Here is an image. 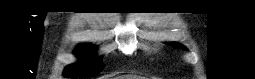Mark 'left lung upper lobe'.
I'll return each instance as SVG.
<instances>
[{"mask_svg": "<svg viewBox=\"0 0 255 79\" xmlns=\"http://www.w3.org/2000/svg\"><path fill=\"white\" fill-rule=\"evenodd\" d=\"M168 45L178 47V48H182V49H186L184 46H182L180 44H177V43H168Z\"/></svg>", "mask_w": 255, "mask_h": 79, "instance_id": "1", "label": "left lung upper lobe"}]
</instances>
